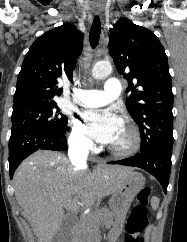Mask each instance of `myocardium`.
Listing matches in <instances>:
<instances>
[{"label":"myocardium","instance_id":"obj_1","mask_svg":"<svg viewBox=\"0 0 187 242\" xmlns=\"http://www.w3.org/2000/svg\"><path fill=\"white\" fill-rule=\"evenodd\" d=\"M121 122L128 128L131 134V144L124 149H117L110 146L108 147V150L115 156L127 157L137 153L140 150L142 145V136L139 127L132 119L124 117L121 119Z\"/></svg>","mask_w":187,"mask_h":242}]
</instances>
